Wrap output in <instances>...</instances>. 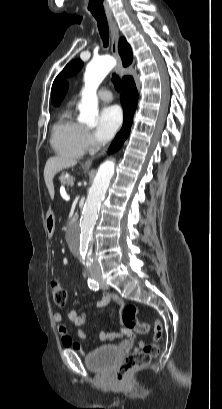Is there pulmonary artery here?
<instances>
[{"label": "pulmonary artery", "instance_id": "pulmonary-artery-1", "mask_svg": "<svg viewBox=\"0 0 222 409\" xmlns=\"http://www.w3.org/2000/svg\"><path fill=\"white\" fill-rule=\"evenodd\" d=\"M98 97L100 100L109 102L112 100V93L108 89H100L98 92Z\"/></svg>", "mask_w": 222, "mask_h": 409}]
</instances>
